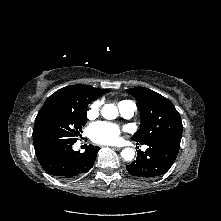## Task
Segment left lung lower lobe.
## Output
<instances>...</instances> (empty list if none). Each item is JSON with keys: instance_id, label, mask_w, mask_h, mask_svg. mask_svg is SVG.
<instances>
[{"instance_id": "left-lung-lower-lobe-1", "label": "left lung lower lobe", "mask_w": 221, "mask_h": 221, "mask_svg": "<svg viewBox=\"0 0 221 221\" xmlns=\"http://www.w3.org/2000/svg\"><path fill=\"white\" fill-rule=\"evenodd\" d=\"M148 146L145 152L137 151V158L126 166L134 176L153 178L165 174L174 163L180 140L175 138H157L143 143Z\"/></svg>"}]
</instances>
